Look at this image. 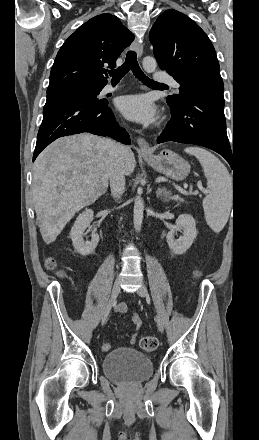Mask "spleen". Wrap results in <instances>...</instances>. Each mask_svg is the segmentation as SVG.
I'll list each match as a JSON object with an SVG mask.
<instances>
[{
  "mask_svg": "<svg viewBox=\"0 0 259 440\" xmlns=\"http://www.w3.org/2000/svg\"><path fill=\"white\" fill-rule=\"evenodd\" d=\"M185 152L200 162L209 194L203 200L205 219L210 228L219 233L226 225L233 199V183L225 165L211 152L200 147H187Z\"/></svg>",
  "mask_w": 259,
  "mask_h": 440,
  "instance_id": "3e777b00",
  "label": "spleen"
}]
</instances>
